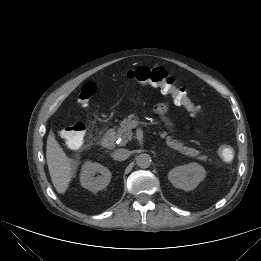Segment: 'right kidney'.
Segmentation results:
<instances>
[{"label": "right kidney", "instance_id": "obj_1", "mask_svg": "<svg viewBox=\"0 0 261 261\" xmlns=\"http://www.w3.org/2000/svg\"><path fill=\"white\" fill-rule=\"evenodd\" d=\"M96 173L100 175L95 176ZM111 180L110 171L99 163L86 162L80 174L81 185L92 191L98 192L108 186Z\"/></svg>", "mask_w": 261, "mask_h": 261}]
</instances>
